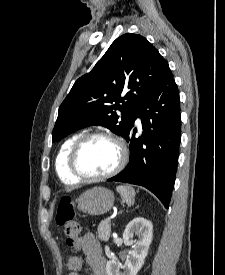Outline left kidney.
Masks as SVG:
<instances>
[{"mask_svg": "<svg viewBox=\"0 0 225 275\" xmlns=\"http://www.w3.org/2000/svg\"><path fill=\"white\" fill-rule=\"evenodd\" d=\"M134 235L139 237L138 241L133 239ZM152 235L153 226L150 221L137 217L129 222L123 233V240L128 246L134 244L132 251L123 266L116 259L109 260L106 264L107 275H137L148 254Z\"/></svg>", "mask_w": 225, "mask_h": 275, "instance_id": "5707ae66", "label": "left kidney"}]
</instances>
